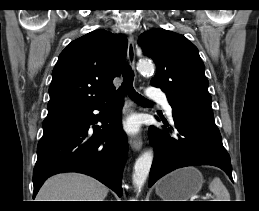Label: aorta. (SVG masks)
<instances>
[{
	"instance_id": "obj_1",
	"label": "aorta",
	"mask_w": 259,
	"mask_h": 211,
	"mask_svg": "<svg viewBox=\"0 0 259 211\" xmlns=\"http://www.w3.org/2000/svg\"><path fill=\"white\" fill-rule=\"evenodd\" d=\"M137 69L143 73H150L154 71V65L151 62L141 60L137 64ZM153 161V154L151 151L143 152L135 162L133 184L140 191L144 186L150 172Z\"/></svg>"
}]
</instances>
